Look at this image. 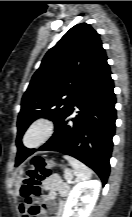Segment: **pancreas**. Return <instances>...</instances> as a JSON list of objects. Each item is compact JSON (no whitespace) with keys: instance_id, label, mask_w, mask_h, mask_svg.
I'll return each instance as SVG.
<instances>
[{"instance_id":"cf45deb5","label":"pancreas","mask_w":132,"mask_h":217,"mask_svg":"<svg viewBox=\"0 0 132 217\" xmlns=\"http://www.w3.org/2000/svg\"><path fill=\"white\" fill-rule=\"evenodd\" d=\"M70 175H71L70 173H66V174L64 175L65 179L68 180V179L70 178ZM71 176H72V175H71Z\"/></svg>"}]
</instances>
